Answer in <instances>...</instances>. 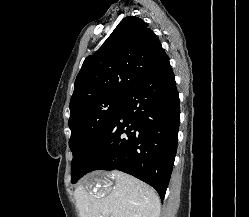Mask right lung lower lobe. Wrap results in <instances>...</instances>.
<instances>
[{
    "mask_svg": "<svg viewBox=\"0 0 249 217\" xmlns=\"http://www.w3.org/2000/svg\"><path fill=\"white\" fill-rule=\"evenodd\" d=\"M179 96L165 54L128 92L86 154L80 172L119 170L148 183L163 201L177 150Z\"/></svg>",
    "mask_w": 249,
    "mask_h": 217,
    "instance_id": "98d812e1",
    "label": "right lung lower lobe"
}]
</instances>
